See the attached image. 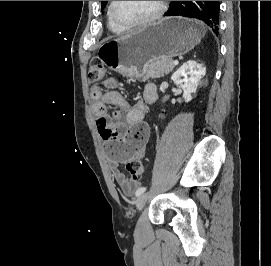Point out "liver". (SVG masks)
<instances>
[{
    "instance_id": "liver-1",
    "label": "liver",
    "mask_w": 271,
    "mask_h": 266,
    "mask_svg": "<svg viewBox=\"0 0 271 266\" xmlns=\"http://www.w3.org/2000/svg\"><path fill=\"white\" fill-rule=\"evenodd\" d=\"M131 34H129V35H126V36H123V37H121V38H126V37H128V36H130ZM121 38H119V39H121Z\"/></svg>"
}]
</instances>
